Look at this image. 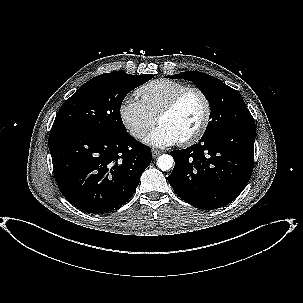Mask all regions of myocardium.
<instances>
[{
  "label": "myocardium",
  "instance_id": "myocardium-1",
  "mask_svg": "<svg viewBox=\"0 0 303 303\" xmlns=\"http://www.w3.org/2000/svg\"><path fill=\"white\" fill-rule=\"evenodd\" d=\"M190 93H197L201 97L203 104H204V114H203L202 121H201L199 127L197 128V130L195 132H193L191 135H189L188 137L179 141V143L181 145H190V144H193V143L197 142L198 140H200L202 138V136L205 134V132L209 126V123L211 120L212 107H211L209 98L207 97L205 92L197 87L185 88L184 90L177 93L160 110V112L158 113V115L156 117V122L160 123L161 119L164 118L165 116L169 115L170 113H172L177 108V106L180 104V102L184 99V97Z\"/></svg>",
  "mask_w": 303,
  "mask_h": 303
}]
</instances>
